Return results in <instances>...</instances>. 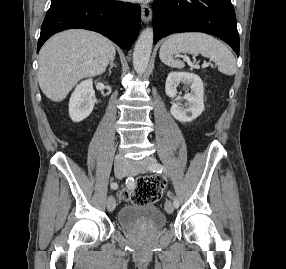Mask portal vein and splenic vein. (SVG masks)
Instances as JSON below:
<instances>
[{"mask_svg":"<svg viewBox=\"0 0 286 269\" xmlns=\"http://www.w3.org/2000/svg\"><path fill=\"white\" fill-rule=\"evenodd\" d=\"M188 57H186V59H187ZM209 66V63H207V62H204L203 64H202V68H206V67H208Z\"/></svg>","mask_w":286,"mask_h":269,"instance_id":"portal-vein-and-splenic-vein-1","label":"portal vein and splenic vein"}]
</instances>
